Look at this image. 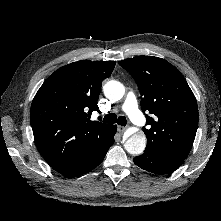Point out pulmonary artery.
Segmentation results:
<instances>
[{
    "label": "pulmonary artery",
    "mask_w": 221,
    "mask_h": 221,
    "mask_svg": "<svg viewBox=\"0 0 221 221\" xmlns=\"http://www.w3.org/2000/svg\"><path fill=\"white\" fill-rule=\"evenodd\" d=\"M122 110L130 117V119L137 125L145 123V118L138 109V102L133 92H129L122 105Z\"/></svg>",
    "instance_id": "1"
}]
</instances>
